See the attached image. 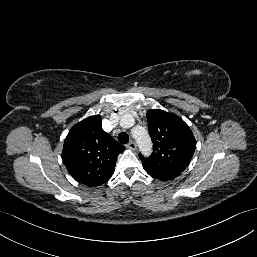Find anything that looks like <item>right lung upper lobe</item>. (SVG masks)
<instances>
[{
    "instance_id": "1",
    "label": "right lung upper lobe",
    "mask_w": 257,
    "mask_h": 257,
    "mask_svg": "<svg viewBox=\"0 0 257 257\" xmlns=\"http://www.w3.org/2000/svg\"><path fill=\"white\" fill-rule=\"evenodd\" d=\"M99 115L74 125L64 142L62 160L69 174L89 187L108 181L114 173L117 156L125 147L101 126Z\"/></svg>"
}]
</instances>
